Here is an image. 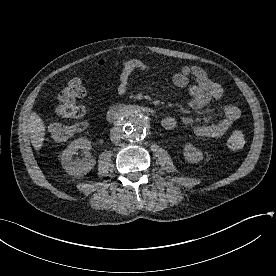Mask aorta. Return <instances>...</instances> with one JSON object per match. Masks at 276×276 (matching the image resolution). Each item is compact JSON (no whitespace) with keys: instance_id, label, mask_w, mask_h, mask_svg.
Segmentation results:
<instances>
[{"instance_id":"762f6f07","label":"aorta","mask_w":276,"mask_h":276,"mask_svg":"<svg viewBox=\"0 0 276 276\" xmlns=\"http://www.w3.org/2000/svg\"><path fill=\"white\" fill-rule=\"evenodd\" d=\"M120 129L129 141H140L146 136V119L137 109L127 110L121 120Z\"/></svg>"}]
</instances>
